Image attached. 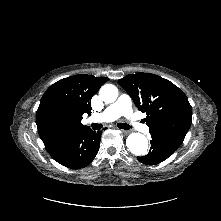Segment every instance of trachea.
<instances>
[{"mask_svg": "<svg viewBox=\"0 0 221 221\" xmlns=\"http://www.w3.org/2000/svg\"><path fill=\"white\" fill-rule=\"evenodd\" d=\"M117 126L120 128V129H124V130H129L131 129L132 127L128 124H125V123H118ZM92 128L94 130H99L102 128V124H97V123H94L92 124Z\"/></svg>", "mask_w": 221, "mask_h": 221, "instance_id": "obj_1", "label": "trachea"}]
</instances>
